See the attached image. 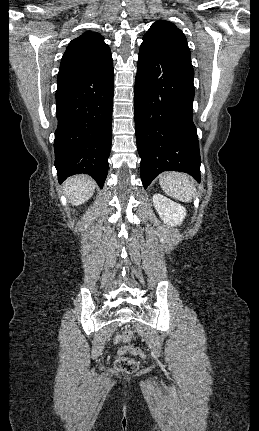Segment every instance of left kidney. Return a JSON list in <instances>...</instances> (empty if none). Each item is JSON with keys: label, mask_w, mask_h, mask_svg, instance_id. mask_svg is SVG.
I'll list each match as a JSON object with an SVG mask.
<instances>
[{"label": "left kidney", "mask_w": 259, "mask_h": 431, "mask_svg": "<svg viewBox=\"0 0 259 431\" xmlns=\"http://www.w3.org/2000/svg\"><path fill=\"white\" fill-rule=\"evenodd\" d=\"M153 204L164 223L171 226L180 225L186 216L183 206L161 194L153 195Z\"/></svg>", "instance_id": "obj_1"}]
</instances>
